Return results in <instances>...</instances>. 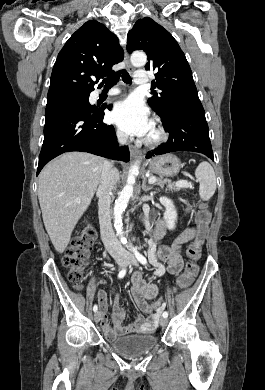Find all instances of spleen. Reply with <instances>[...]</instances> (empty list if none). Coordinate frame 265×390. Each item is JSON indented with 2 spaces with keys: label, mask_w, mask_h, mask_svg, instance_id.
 <instances>
[{
  "label": "spleen",
  "mask_w": 265,
  "mask_h": 390,
  "mask_svg": "<svg viewBox=\"0 0 265 390\" xmlns=\"http://www.w3.org/2000/svg\"><path fill=\"white\" fill-rule=\"evenodd\" d=\"M195 176L200 183V197L208 201L216 190V176L213 167L208 162H201L195 170Z\"/></svg>",
  "instance_id": "1"
}]
</instances>
